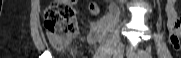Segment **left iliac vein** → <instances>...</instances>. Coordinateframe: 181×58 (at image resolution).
Instances as JSON below:
<instances>
[{
  "instance_id": "left-iliac-vein-1",
  "label": "left iliac vein",
  "mask_w": 181,
  "mask_h": 58,
  "mask_svg": "<svg viewBox=\"0 0 181 58\" xmlns=\"http://www.w3.org/2000/svg\"><path fill=\"white\" fill-rule=\"evenodd\" d=\"M127 55L129 58H145L144 55L142 54V51H139L137 53L128 52Z\"/></svg>"
}]
</instances>
